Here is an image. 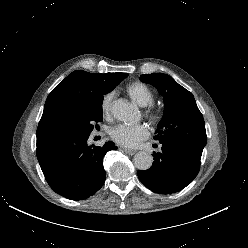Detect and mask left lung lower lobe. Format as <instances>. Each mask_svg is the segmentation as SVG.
Instances as JSON below:
<instances>
[{
    "mask_svg": "<svg viewBox=\"0 0 248 248\" xmlns=\"http://www.w3.org/2000/svg\"><path fill=\"white\" fill-rule=\"evenodd\" d=\"M148 170H138L140 181L152 192L171 194L189 185L200 169L201 156L177 143H162L160 153L153 152Z\"/></svg>",
    "mask_w": 248,
    "mask_h": 248,
    "instance_id": "left-lung-lower-lobe-1",
    "label": "left lung lower lobe"
}]
</instances>
